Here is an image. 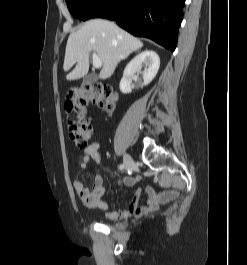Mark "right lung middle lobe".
I'll use <instances>...</instances> for the list:
<instances>
[{
  "mask_svg": "<svg viewBox=\"0 0 247 265\" xmlns=\"http://www.w3.org/2000/svg\"><path fill=\"white\" fill-rule=\"evenodd\" d=\"M101 0H66L69 11L75 18L80 20L88 10Z\"/></svg>",
  "mask_w": 247,
  "mask_h": 265,
  "instance_id": "obj_1",
  "label": "right lung middle lobe"
}]
</instances>
